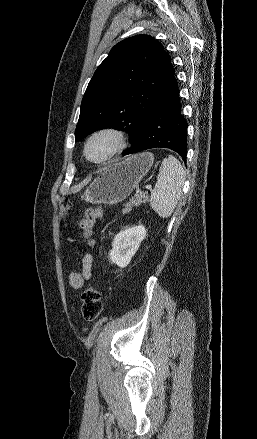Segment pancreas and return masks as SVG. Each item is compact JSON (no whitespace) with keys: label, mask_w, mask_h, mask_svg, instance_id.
<instances>
[{"label":"pancreas","mask_w":257,"mask_h":439,"mask_svg":"<svg viewBox=\"0 0 257 439\" xmlns=\"http://www.w3.org/2000/svg\"><path fill=\"white\" fill-rule=\"evenodd\" d=\"M149 200V196L145 193H136L132 199L125 204V208L122 209L123 214H127L132 210V207L140 206L142 203H146Z\"/></svg>","instance_id":"cf45deb5"}]
</instances>
